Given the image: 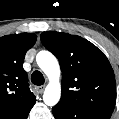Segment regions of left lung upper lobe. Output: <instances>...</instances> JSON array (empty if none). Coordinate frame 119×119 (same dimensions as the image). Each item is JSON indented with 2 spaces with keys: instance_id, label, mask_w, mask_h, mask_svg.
<instances>
[{
  "instance_id": "obj_1",
  "label": "left lung upper lobe",
  "mask_w": 119,
  "mask_h": 119,
  "mask_svg": "<svg viewBox=\"0 0 119 119\" xmlns=\"http://www.w3.org/2000/svg\"><path fill=\"white\" fill-rule=\"evenodd\" d=\"M41 42L60 63L62 96L58 104L112 114L116 82L106 56L86 39L67 33L43 32Z\"/></svg>"
}]
</instances>
